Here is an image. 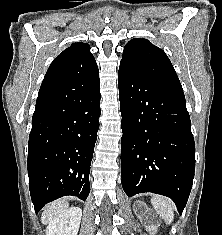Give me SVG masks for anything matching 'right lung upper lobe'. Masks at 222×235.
Segmentation results:
<instances>
[{"label":"right lung upper lobe","instance_id":"cb5924a9","mask_svg":"<svg viewBox=\"0 0 222 235\" xmlns=\"http://www.w3.org/2000/svg\"><path fill=\"white\" fill-rule=\"evenodd\" d=\"M97 72V63L90 52V46L77 42L53 60L43 81L52 83L70 82Z\"/></svg>","mask_w":222,"mask_h":235}]
</instances>
